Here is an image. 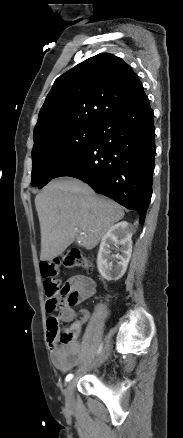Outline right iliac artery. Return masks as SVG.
Returning a JSON list of instances; mask_svg holds the SVG:
<instances>
[{
    "instance_id": "obj_1",
    "label": "right iliac artery",
    "mask_w": 183,
    "mask_h": 438,
    "mask_svg": "<svg viewBox=\"0 0 183 438\" xmlns=\"http://www.w3.org/2000/svg\"><path fill=\"white\" fill-rule=\"evenodd\" d=\"M73 378V374H68L67 376H66V382H68V381H70L71 379Z\"/></svg>"
}]
</instances>
